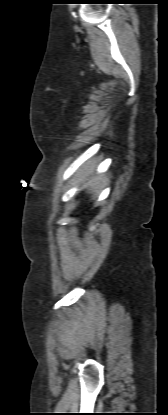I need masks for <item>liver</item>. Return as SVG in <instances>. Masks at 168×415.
Here are the masks:
<instances>
[{
    "mask_svg": "<svg viewBox=\"0 0 168 415\" xmlns=\"http://www.w3.org/2000/svg\"><path fill=\"white\" fill-rule=\"evenodd\" d=\"M94 169V165L92 161L87 162V164L84 166L83 170H80L78 175L80 180L85 179L86 177L90 176L92 174V171ZM100 183V178L94 177L91 179L88 183V186L91 188L96 187Z\"/></svg>",
    "mask_w": 168,
    "mask_h": 415,
    "instance_id": "6515ba94",
    "label": "liver"
}]
</instances>
